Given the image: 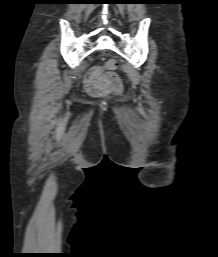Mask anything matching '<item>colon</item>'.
<instances>
[{
	"instance_id": "colon-1",
	"label": "colon",
	"mask_w": 218,
	"mask_h": 257,
	"mask_svg": "<svg viewBox=\"0 0 218 257\" xmlns=\"http://www.w3.org/2000/svg\"><path fill=\"white\" fill-rule=\"evenodd\" d=\"M106 67L109 71L103 73L99 68L91 69L85 80L87 90L96 95L107 93H119L122 91V81L112 70L116 68V62L110 60Z\"/></svg>"
}]
</instances>
